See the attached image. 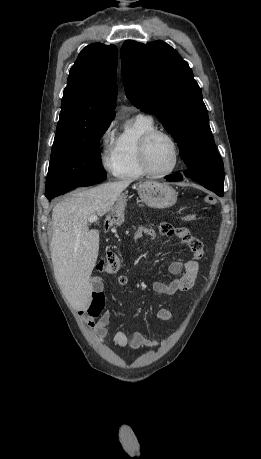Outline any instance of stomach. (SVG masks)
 <instances>
[{"instance_id": "0dacf381", "label": "stomach", "mask_w": 261, "mask_h": 459, "mask_svg": "<svg viewBox=\"0 0 261 459\" xmlns=\"http://www.w3.org/2000/svg\"><path fill=\"white\" fill-rule=\"evenodd\" d=\"M138 195L142 202L154 209H165L172 207L177 201L176 191L166 183L156 181L141 182L138 185ZM122 200L124 197L121 198ZM114 212L122 216L120 205L117 204Z\"/></svg>"}]
</instances>
